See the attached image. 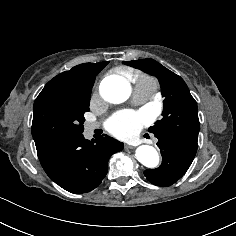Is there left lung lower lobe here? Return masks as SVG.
<instances>
[{"mask_svg":"<svg viewBox=\"0 0 236 236\" xmlns=\"http://www.w3.org/2000/svg\"><path fill=\"white\" fill-rule=\"evenodd\" d=\"M162 165L153 170L144 171L152 184L170 186L178 181L190 167L198 147L197 140L179 137L172 134L158 137Z\"/></svg>","mask_w":236,"mask_h":236,"instance_id":"left-lung-lower-lobe-1","label":"left lung lower lobe"}]
</instances>
